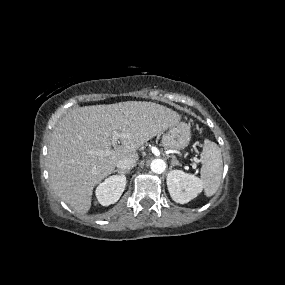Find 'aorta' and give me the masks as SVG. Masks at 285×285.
I'll list each match as a JSON object with an SVG mask.
<instances>
[{
    "label": "aorta",
    "mask_w": 285,
    "mask_h": 285,
    "mask_svg": "<svg viewBox=\"0 0 285 285\" xmlns=\"http://www.w3.org/2000/svg\"><path fill=\"white\" fill-rule=\"evenodd\" d=\"M150 167L152 172L156 174H161L166 169V163L163 159L157 158L151 162Z\"/></svg>",
    "instance_id": "aorta-1"
}]
</instances>
